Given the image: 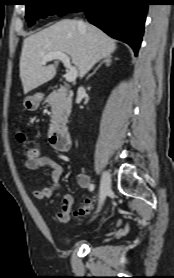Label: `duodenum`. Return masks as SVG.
<instances>
[{
  "label": "duodenum",
  "instance_id": "1",
  "mask_svg": "<svg viewBox=\"0 0 174 278\" xmlns=\"http://www.w3.org/2000/svg\"><path fill=\"white\" fill-rule=\"evenodd\" d=\"M49 141L54 148L66 151L71 144L70 133L65 126L55 125L49 132Z\"/></svg>",
  "mask_w": 174,
  "mask_h": 278
}]
</instances>
